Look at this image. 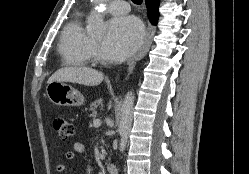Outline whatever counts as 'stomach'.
Instances as JSON below:
<instances>
[{"label":"stomach","instance_id":"1","mask_svg":"<svg viewBox=\"0 0 249 174\" xmlns=\"http://www.w3.org/2000/svg\"><path fill=\"white\" fill-rule=\"evenodd\" d=\"M46 93L49 100L58 106H80L84 102V97L78 90L60 81L48 83Z\"/></svg>","mask_w":249,"mask_h":174}]
</instances>
